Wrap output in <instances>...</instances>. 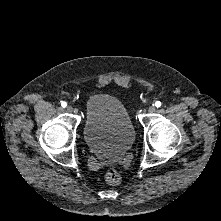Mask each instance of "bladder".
<instances>
[{
  "instance_id": "31cf9c89",
  "label": "bladder",
  "mask_w": 221,
  "mask_h": 221,
  "mask_svg": "<svg viewBox=\"0 0 221 221\" xmlns=\"http://www.w3.org/2000/svg\"><path fill=\"white\" fill-rule=\"evenodd\" d=\"M84 138L94 153L111 158L126 153L135 140V129L123 103L109 94L86 100Z\"/></svg>"
}]
</instances>
